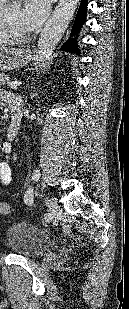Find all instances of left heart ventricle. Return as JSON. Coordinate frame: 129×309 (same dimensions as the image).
I'll list each match as a JSON object with an SVG mask.
<instances>
[{"label":"left heart ventricle","instance_id":"obj_1","mask_svg":"<svg viewBox=\"0 0 129 309\" xmlns=\"http://www.w3.org/2000/svg\"><path fill=\"white\" fill-rule=\"evenodd\" d=\"M8 16L10 17V19L12 20L14 26L18 30L26 29L25 25L23 24V20H22L21 14L18 11L9 12Z\"/></svg>","mask_w":129,"mask_h":309}]
</instances>
